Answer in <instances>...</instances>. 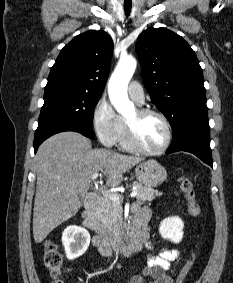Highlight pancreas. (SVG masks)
<instances>
[{"label": "pancreas", "mask_w": 233, "mask_h": 283, "mask_svg": "<svg viewBox=\"0 0 233 283\" xmlns=\"http://www.w3.org/2000/svg\"><path fill=\"white\" fill-rule=\"evenodd\" d=\"M132 186L136 188V198L139 201H152L156 196H161L162 192H158L152 188H147L141 183L134 181ZM122 205L121 202H115L108 197L103 199V202L98 210V218L102 226L115 236H120L123 229L122 220Z\"/></svg>", "instance_id": "pancreas-1"}]
</instances>
